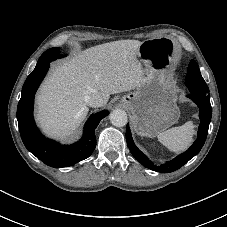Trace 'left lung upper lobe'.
I'll return each instance as SVG.
<instances>
[{"instance_id": "obj_1", "label": "left lung upper lobe", "mask_w": 227, "mask_h": 227, "mask_svg": "<svg viewBox=\"0 0 227 227\" xmlns=\"http://www.w3.org/2000/svg\"><path fill=\"white\" fill-rule=\"evenodd\" d=\"M185 84L191 93H196L201 96L210 97L208 95L209 93L208 86L206 85V82L202 78L199 67L194 60H191L188 66V74L186 76Z\"/></svg>"}]
</instances>
